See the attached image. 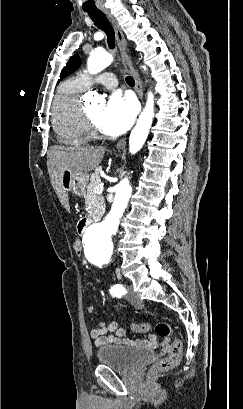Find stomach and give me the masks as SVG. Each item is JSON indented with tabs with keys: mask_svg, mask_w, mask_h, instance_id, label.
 <instances>
[{
	"mask_svg": "<svg viewBox=\"0 0 243 409\" xmlns=\"http://www.w3.org/2000/svg\"><path fill=\"white\" fill-rule=\"evenodd\" d=\"M88 176L86 173L72 174L68 169L62 173L61 186L65 192H72L77 196L86 193Z\"/></svg>",
	"mask_w": 243,
	"mask_h": 409,
	"instance_id": "obj_1",
	"label": "stomach"
}]
</instances>
